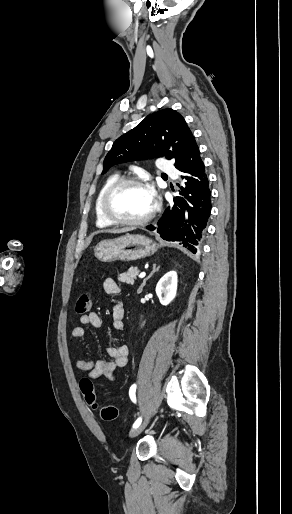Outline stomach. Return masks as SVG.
Listing matches in <instances>:
<instances>
[{
  "mask_svg": "<svg viewBox=\"0 0 292 514\" xmlns=\"http://www.w3.org/2000/svg\"><path fill=\"white\" fill-rule=\"evenodd\" d=\"M158 244L140 234H126L115 240H103L95 248V256L100 262H133L152 256L158 250Z\"/></svg>",
  "mask_w": 292,
  "mask_h": 514,
  "instance_id": "1",
  "label": "stomach"
}]
</instances>
